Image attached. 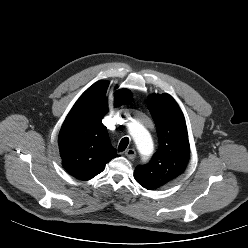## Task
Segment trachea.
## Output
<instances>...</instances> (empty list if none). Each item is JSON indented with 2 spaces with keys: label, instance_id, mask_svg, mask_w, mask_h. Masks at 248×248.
Listing matches in <instances>:
<instances>
[{
  "label": "trachea",
  "instance_id": "1",
  "mask_svg": "<svg viewBox=\"0 0 248 248\" xmlns=\"http://www.w3.org/2000/svg\"><path fill=\"white\" fill-rule=\"evenodd\" d=\"M128 144H129V138L124 137L119 143L118 152H123L127 148Z\"/></svg>",
  "mask_w": 248,
  "mask_h": 248
}]
</instances>
